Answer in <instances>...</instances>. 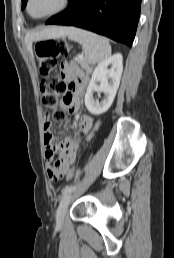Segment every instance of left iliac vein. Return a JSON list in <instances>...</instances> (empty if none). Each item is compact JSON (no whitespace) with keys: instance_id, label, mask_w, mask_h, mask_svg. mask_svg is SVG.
Returning <instances> with one entry per match:
<instances>
[{"instance_id":"1","label":"left iliac vein","mask_w":174,"mask_h":258,"mask_svg":"<svg viewBox=\"0 0 174 258\" xmlns=\"http://www.w3.org/2000/svg\"><path fill=\"white\" fill-rule=\"evenodd\" d=\"M75 195H76L75 192L72 191V192L64 194L62 196L59 206L57 208V212H56V223L57 224L62 225L64 223L67 208H68L70 202L74 199Z\"/></svg>"}]
</instances>
